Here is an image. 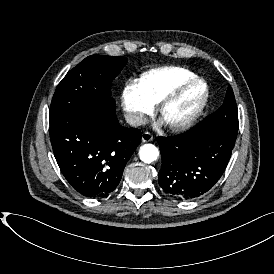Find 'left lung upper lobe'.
Instances as JSON below:
<instances>
[{
  "label": "left lung upper lobe",
  "mask_w": 274,
  "mask_h": 274,
  "mask_svg": "<svg viewBox=\"0 0 274 274\" xmlns=\"http://www.w3.org/2000/svg\"><path fill=\"white\" fill-rule=\"evenodd\" d=\"M197 126L217 129L231 136H237L238 116L237 105L231 86H228L226 97L222 106L204 119Z\"/></svg>",
  "instance_id": "5c2ea615"
}]
</instances>
